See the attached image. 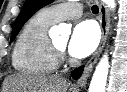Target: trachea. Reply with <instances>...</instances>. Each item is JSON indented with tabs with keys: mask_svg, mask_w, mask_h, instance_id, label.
<instances>
[{
	"mask_svg": "<svg viewBox=\"0 0 127 92\" xmlns=\"http://www.w3.org/2000/svg\"><path fill=\"white\" fill-rule=\"evenodd\" d=\"M92 12H93L94 14H97V13L99 12V9H98V6H97V5H93V6H92Z\"/></svg>",
	"mask_w": 127,
	"mask_h": 92,
	"instance_id": "1",
	"label": "trachea"
}]
</instances>
